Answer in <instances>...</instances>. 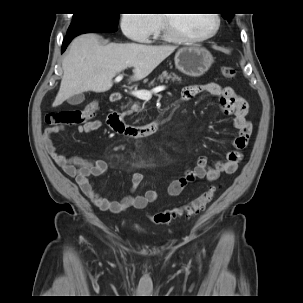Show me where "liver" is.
Returning a JSON list of instances; mask_svg holds the SVG:
<instances>
[{
	"label": "liver",
	"mask_w": 303,
	"mask_h": 303,
	"mask_svg": "<svg viewBox=\"0 0 303 303\" xmlns=\"http://www.w3.org/2000/svg\"><path fill=\"white\" fill-rule=\"evenodd\" d=\"M175 49L171 45L137 43L103 45L98 35H81L74 39L63 59V77L53 106L83 92L108 91L113 85L112 79L127 67H134L132 81L141 80Z\"/></svg>",
	"instance_id": "1"
}]
</instances>
